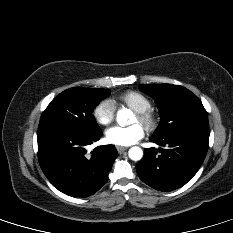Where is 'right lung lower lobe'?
<instances>
[{
    "label": "right lung lower lobe",
    "instance_id": "right-lung-lower-lobe-1",
    "mask_svg": "<svg viewBox=\"0 0 233 233\" xmlns=\"http://www.w3.org/2000/svg\"><path fill=\"white\" fill-rule=\"evenodd\" d=\"M102 131L86 132L66 127L38 129V160L48 180L72 197H88L107 181L118 153L114 145H87L100 139Z\"/></svg>",
    "mask_w": 233,
    "mask_h": 233
}]
</instances>
